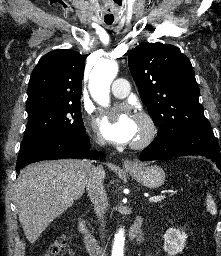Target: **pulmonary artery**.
Segmentation results:
<instances>
[{"mask_svg": "<svg viewBox=\"0 0 221 256\" xmlns=\"http://www.w3.org/2000/svg\"><path fill=\"white\" fill-rule=\"evenodd\" d=\"M129 83L125 79H117L111 87L112 94L117 98H124L129 94Z\"/></svg>", "mask_w": 221, "mask_h": 256, "instance_id": "obj_1", "label": "pulmonary artery"}]
</instances>
